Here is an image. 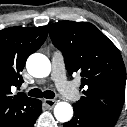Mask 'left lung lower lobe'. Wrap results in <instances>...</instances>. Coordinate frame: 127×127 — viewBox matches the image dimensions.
<instances>
[{"instance_id": "1", "label": "left lung lower lobe", "mask_w": 127, "mask_h": 127, "mask_svg": "<svg viewBox=\"0 0 127 127\" xmlns=\"http://www.w3.org/2000/svg\"><path fill=\"white\" fill-rule=\"evenodd\" d=\"M74 107V117L71 121L63 124V127H114L116 122L99 118L84 111L78 106Z\"/></svg>"}]
</instances>
